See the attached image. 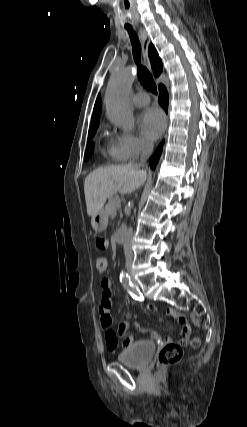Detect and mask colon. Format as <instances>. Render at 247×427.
Here are the masks:
<instances>
[{
    "label": "colon",
    "mask_w": 247,
    "mask_h": 427,
    "mask_svg": "<svg viewBox=\"0 0 247 427\" xmlns=\"http://www.w3.org/2000/svg\"><path fill=\"white\" fill-rule=\"evenodd\" d=\"M98 240V239H97ZM94 265L99 274H104L108 269V260L103 256H98L94 260ZM200 344L198 339H193L191 345L198 347ZM183 356V349L180 344L166 343L159 352L158 364L165 366L177 363Z\"/></svg>",
    "instance_id": "obj_1"
}]
</instances>
